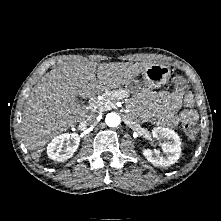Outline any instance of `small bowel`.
<instances>
[{"label": "small bowel", "mask_w": 221, "mask_h": 221, "mask_svg": "<svg viewBox=\"0 0 221 221\" xmlns=\"http://www.w3.org/2000/svg\"><path fill=\"white\" fill-rule=\"evenodd\" d=\"M161 100L163 107L158 117L159 124L173 127L180 122L197 119V113L192 108L194 102L192 93L182 90L165 92ZM180 106H184L185 109L178 112Z\"/></svg>", "instance_id": "small-bowel-1"}]
</instances>
